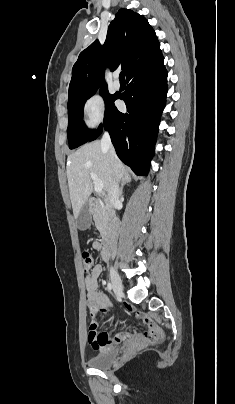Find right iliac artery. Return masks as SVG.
<instances>
[{"label":"right iliac artery","instance_id":"right-iliac-artery-1","mask_svg":"<svg viewBox=\"0 0 235 404\" xmlns=\"http://www.w3.org/2000/svg\"><path fill=\"white\" fill-rule=\"evenodd\" d=\"M107 289H108L109 292H111V290H112V285H111V283H108Z\"/></svg>","mask_w":235,"mask_h":404}]
</instances>
